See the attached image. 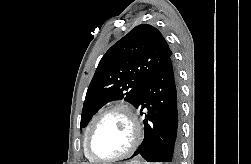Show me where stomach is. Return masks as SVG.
<instances>
[{"instance_id":"0dacf381","label":"stomach","mask_w":251,"mask_h":164,"mask_svg":"<svg viewBox=\"0 0 251 164\" xmlns=\"http://www.w3.org/2000/svg\"><path fill=\"white\" fill-rule=\"evenodd\" d=\"M121 164H129V163H121ZM133 164H144V163H140L139 161H135Z\"/></svg>"}]
</instances>
